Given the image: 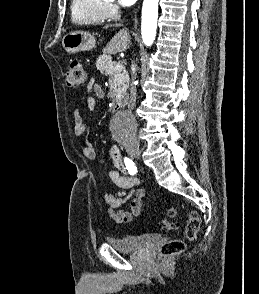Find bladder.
<instances>
[{"label":"bladder","mask_w":259,"mask_h":294,"mask_svg":"<svg viewBox=\"0 0 259 294\" xmlns=\"http://www.w3.org/2000/svg\"><path fill=\"white\" fill-rule=\"evenodd\" d=\"M160 239L158 233L130 234L121 237L110 238L108 244L119 252H138L153 242Z\"/></svg>","instance_id":"31cf9c89"}]
</instances>
